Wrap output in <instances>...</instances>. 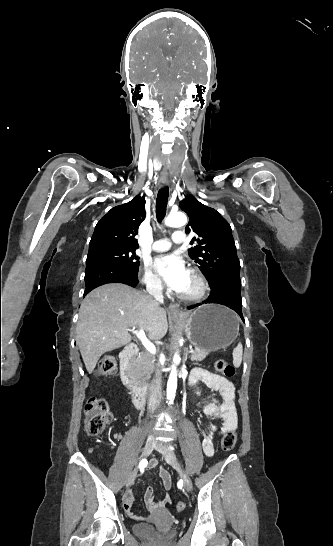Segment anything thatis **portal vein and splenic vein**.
<instances>
[{"label": "portal vein and splenic vein", "instance_id": "portal-vein-and-splenic-vein-1", "mask_svg": "<svg viewBox=\"0 0 333 546\" xmlns=\"http://www.w3.org/2000/svg\"><path fill=\"white\" fill-rule=\"evenodd\" d=\"M132 333H134L138 339L141 341L145 349L152 355L156 354V348L155 346L147 339L145 332L143 329H139V331L132 330ZM190 353H193L194 350L190 349Z\"/></svg>", "mask_w": 333, "mask_h": 546}]
</instances>
